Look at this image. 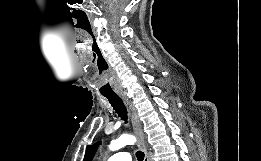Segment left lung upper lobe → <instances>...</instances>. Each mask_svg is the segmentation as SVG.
Returning <instances> with one entry per match:
<instances>
[{"label":"left lung upper lobe","instance_id":"5c2ea615","mask_svg":"<svg viewBox=\"0 0 261 161\" xmlns=\"http://www.w3.org/2000/svg\"><path fill=\"white\" fill-rule=\"evenodd\" d=\"M100 144H101L100 142H97L94 145H88L87 146L84 161H91L92 160V158L95 154V151H96L98 145H100Z\"/></svg>","mask_w":261,"mask_h":161}]
</instances>
